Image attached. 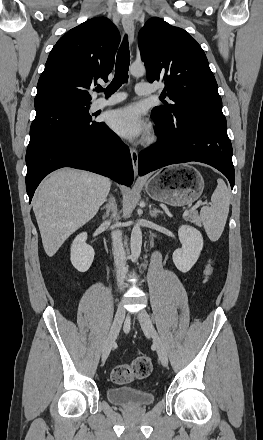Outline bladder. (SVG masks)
<instances>
[{
	"mask_svg": "<svg viewBox=\"0 0 263 440\" xmlns=\"http://www.w3.org/2000/svg\"><path fill=\"white\" fill-rule=\"evenodd\" d=\"M108 400L128 410L144 409L154 402L153 393L135 387H110L106 390Z\"/></svg>",
	"mask_w": 263,
	"mask_h": 440,
	"instance_id": "bladder-1",
	"label": "bladder"
}]
</instances>
